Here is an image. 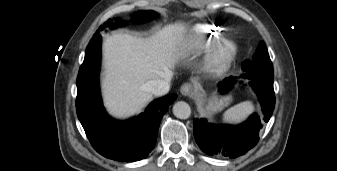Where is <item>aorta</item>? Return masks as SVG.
I'll return each instance as SVG.
<instances>
[{
  "label": "aorta",
  "mask_w": 337,
  "mask_h": 171,
  "mask_svg": "<svg viewBox=\"0 0 337 171\" xmlns=\"http://www.w3.org/2000/svg\"><path fill=\"white\" fill-rule=\"evenodd\" d=\"M173 114L179 119H187L191 115V108L188 103L178 101L173 106Z\"/></svg>",
  "instance_id": "762f6f07"
}]
</instances>
